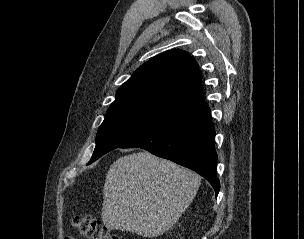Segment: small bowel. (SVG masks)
<instances>
[{
  "label": "small bowel",
  "instance_id": "1",
  "mask_svg": "<svg viewBox=\"0 0 304 239\" xmlns=\"http://www.w3.org/2000/svg\"><path fill=\"white\" fill-rule=\"evenodd\" d=\"M64 239H74L73 237H66V238H64Z\"/></svg>",
  "mask_w": 304,
  "mask_h": 239
}]
</instances>
